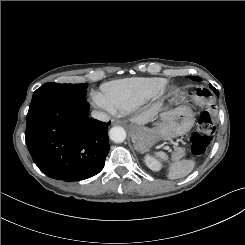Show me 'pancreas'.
<instances>
[{"label":"pancreas","mask_w":245,"mask_h":245,"mask_svg":"<svg viewBox=\"0 0 245 245\" xmlns=\"http://www.w3.org/2000/svg\"><path fill=\"white\" fill-rule=\"evenodd\" d=\"M184 155H185V151H184L183 148H181V147L175 148V152L173 153V157H174L175 159H180V158H182Z\"/></svg>","instance_id":"1"}]
</instances>
